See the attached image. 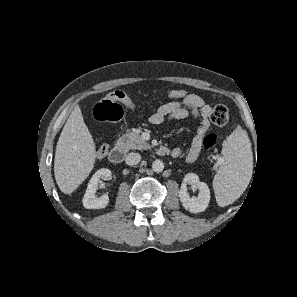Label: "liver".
Listing matches in <instances>:
<instances>
[{"instance_id":"obj_1","label":"liver","mask_w":297,"mask_h":297,"mask_svg":"<svg viewBox=\"0 0 297 297\" xmlns=\"http://www.w3.org/2000/svg\"><path fill=\"white\" fill-rule=\"evenodd\" d=\"M96 159L93 138L76 106L57 142L54 175L61 192L73 193L91 173Z\"/></svg>"}]
</instances>
